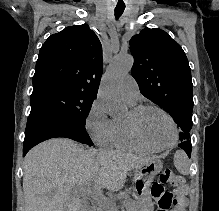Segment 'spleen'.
Listing matches in <instances>:
<instances>
[{"label":"spleen","mask_w":219,"mask_h":211,"mask_svg":"<svg viewBox=\"0 0 219 211\" xmlns=\"http://www.w3.org/2000/svg\"><path fill=\"white\" fill-rule=\"evenodd\" d=\"M174 165L180 173L188 175L190 169V159L187 157V153L183 149H177L174 155Z\"/></svg>","instance_id":"spleen-1"}]
</instances>
